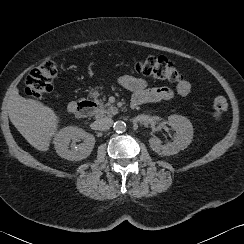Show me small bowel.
Instances as JSON below:
<instances>
[{
	"mask_svg": "<svg viewBox=\"0 0 244 244\" xmlns=\"http://www.w3.org/2000/svg\"><path fill=\"white\" fill-rule=\"evenodd\" d=\"M117 82L134 93L132 98V105L134 107H139L146 103L170 100L174 97L175 93L180 97H186L191 89L189 81L185 79L176 85L175 90L165 86L151 88L145 79L130 75L120 76Z\"/></svg>",
	"mask_w": 244,
	"mask_h": 244,
	"instance_id": "c3829d8e",
	"label": "small bowel"
}]
</instances>
